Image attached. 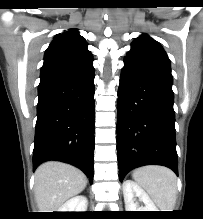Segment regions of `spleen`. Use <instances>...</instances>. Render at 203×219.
<instances>
[{"instance_id": "spleen-1", "label": "spleen", "mask_w": 203, "mask_h": 219, "mask_svg": "<svg viewBox=\"0 0 203 219\" xmlns=\"http://www.w3.org/2000/svg\"><path fill=\"white\" fill-rule=\"evenodd\" d=\"M132 177L147 191L160 211H173L177 180L172 170L162 166H144L134 170Z\"/></svg>"}]
</instances>
